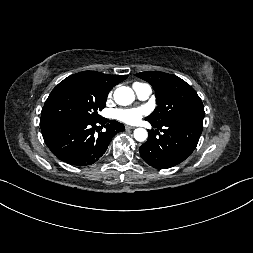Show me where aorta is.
<instances>
[{"mask_svg": "<svg viewBox=\"0 0 253 253\" xmlns=\"http://www.w3.org/2000/svg\"><path fill=\"white\" fill-rule=\"evenodd\" d=\"M135 95L131 88L122 86L115 90L114 92V100L119 105H129L134 101ZM148 132L144 128H137L134 130V138L143 142L147 139Z\"/></svg>", "mask_w": 253, "mask_h": 253, "instance_id": "aorta-1", "label": "aorta"}]
</instances>
